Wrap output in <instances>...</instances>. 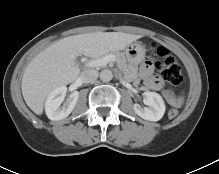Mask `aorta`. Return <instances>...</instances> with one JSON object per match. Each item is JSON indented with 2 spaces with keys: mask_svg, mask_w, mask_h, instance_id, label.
Returning a JSON list of instances; mask_svg holds the SVG:
<instances>
[{
  "mask_svg": "<svg viewBox=\"0 0 219 174\" xmlns=\"http://www.w3.org/2000/svg\"><path fill=\"white\" fill-rule=\"evenodd\" d=\"M113 78V73L111 70L104 69L100 72V79L103 82H109Z\"/></svg>",
  "mask_w": 219,
  "mask_h": 174,
  "instance_id": "762f6f07",
  "label": "aorta"
}]
</instances>
